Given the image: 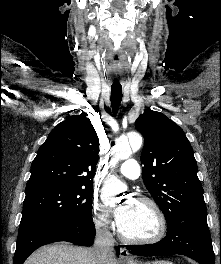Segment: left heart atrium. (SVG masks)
<instances>
[{"label": "left heart atrium", "instance_id": "1", "mask_svg": "<svg viewBox=\"0 0 221 264\" xmlns=\"http://www.w3.org/2000/svg\"><path fill=\"white\" fill-rule=\"evenodd\" d=\"M131 213V204L125 203L114 210V215L119 226H122L129 218Z\"/></svg>", "mask_w": 221, "mask_h": 264}]
</instances>
